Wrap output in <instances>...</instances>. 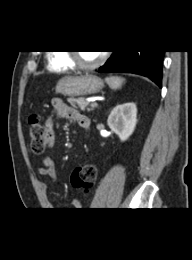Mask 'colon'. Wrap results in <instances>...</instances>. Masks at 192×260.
Wrapping results in <instances>:
<instances>
[{
	"instance_id": "colon-1",
	"label": "colon",
	"mask_w": 192,
	"mask_h": 260,
	"mask_svg": "<svg viewBox=\"0 0 192 260\" xmlns=\"http://www.w3.org/2000/svg\"><path fill=\"white\" fill-rule=\"evenodd\" d=\"M28 131L32 152L37 155L44 153L49 146L50 140L40 115L33 114L29 117ZM96 178V167L93 164L87 163L77 167L73 171L71 183L76 190L87 193L94 186Z\"/></svg>"
}]
</instances>
